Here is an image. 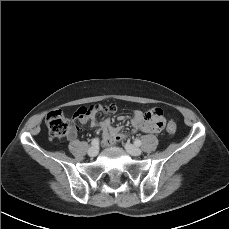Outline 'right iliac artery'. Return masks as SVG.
Listing matches in <instances>:
<instances>
[{"mask_svg": "<svg viewBox=\"0 0 229 229\" xmlns=\"http://www.w3.org/2000/svg\"><path fill=\"white\" fill-rule=\"evenodd\" d=\"M91 144H92V146H97V145H99V139H98V138L92 139Z\"/></svg>", "mask_w": 229, "mask_h": 229, "instance_id": "obj_1", "label": "right iliac artery"}]
</instances>
